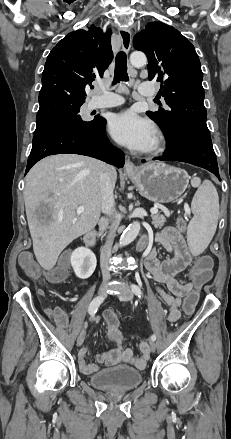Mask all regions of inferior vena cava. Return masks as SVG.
Listing matches in <instances>:
<instances>
[{
	"mask_svg": "<svg viewBox=\"0 0 231 439\" xmlns=\"http://www.w3.org/2000/svg\"><path fill=\"white\" fill-rule=\"evenodd\" d=\"M101 168L102 170L100 172L99 179L102 196V212L110 216L112 218V221L109 227L107 241L101 249L100 266L103 279L109 280L111 278L109 272V260L111 257L113 239L116 233V229L119 225V220L114 213L115 200L113 195L114 185L111 180L110 172L111 167L103 163L101 165Z\"/></svg>",
	"mask_w": 231,
	"mask_h": 439,
	"instance_id": "602c4592",
	"label": "inferior vena cava"
}]
</instances>
